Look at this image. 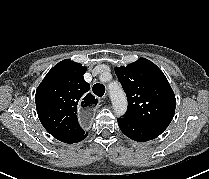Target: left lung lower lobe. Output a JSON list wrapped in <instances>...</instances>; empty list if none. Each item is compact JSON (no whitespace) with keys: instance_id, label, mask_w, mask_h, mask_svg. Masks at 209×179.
Wrapping results in <instances>:
<instances>
[{"instance_id":"left-lung-lower-lobe-1","label":"left lung lower lobe","mask_w":209,"mask_h":179,"mask_svg":"<svg viewBox=\"0 0 209 179\" xmlns=\"http://www.w3.org/2000/svg\"><path fill=\"white\" fill-rule=\"evenodd\" d=\"M120 130L130 139L145 142L158 137L162 132L134 123L126 118H119Z\"/></svg>"}]
</instances>
